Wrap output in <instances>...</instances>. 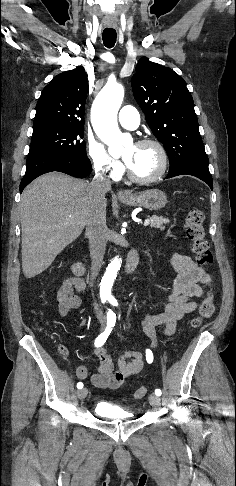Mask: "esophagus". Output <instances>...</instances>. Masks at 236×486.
<instances>
[{"mask_svg":"<svg viewBox=\"0 0 236 486\" xmlns=\"http://www.w3.org/2000/svg\"><path fill=\"white\" fill-rule=\"evenodd\" d=\"M117 196H118V197H120V198H121V197H129V196H130V193H129V192H127V191H124V190H119V191L117 192Z\"/></svg>","mask_w":236,"mask_h":486,"instance_id":"34e87169","label":"esophagus"}]
</instances>
